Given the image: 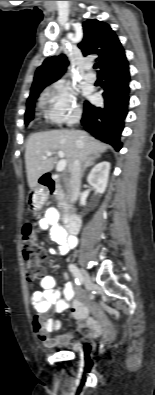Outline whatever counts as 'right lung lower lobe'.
Segmentation results:
<instances>
[{
	"label": "right lung lower lobe",
	"mask_w": 155,
	"mask_h": 395,
	"mask_svg": "<svg viewBox=\"0 0 155 395\" xmlns=\"http://www.w3.org/2000/svg\"><path fill=\"white\" fill-rule=\"evenodd\" d=\"M102 74L105 79L102 87L104 105L97 107L86 101L81 123L95 138L119 151L122 148L120 135L129 104L128 62L109 67L103 70Z\"/></svg>",
	"instance_id": "98d812e1"
}]
</instances>
